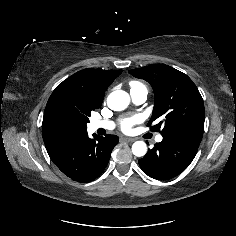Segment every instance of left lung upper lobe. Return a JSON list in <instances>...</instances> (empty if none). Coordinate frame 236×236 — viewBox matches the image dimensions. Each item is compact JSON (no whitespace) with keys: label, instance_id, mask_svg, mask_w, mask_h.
<instances>
[{"label":"left lung upper lobe","instance_id":"left-lung-upper-lobe-1","mask_svg":"<svg viewBox=\"0 0 236 236\" xmlns=\"http://www.w3.org/2000/svg\"><path fill=\"white\" fill-rule=\"evenodd\" d=\"M149 82L154 90L155 104L148 123L158 124L151 130L162 136L177 133H203L205 109L203 99L193 81L184 73L164 64H155L128 71Z\"/></svg>","mask_w":236,"mask_h":236}]
</instances>
